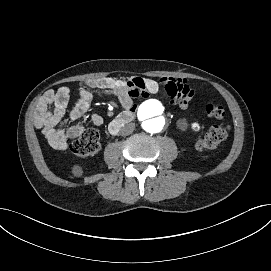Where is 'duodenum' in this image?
<instances>
[{
	"mask_svg": "<svg viewBox=\"0 0 271 271\" xmlns=\"http://www.w3.org/2000/svg\"><path fill=\"white\" fill-rule=\"evenodd\" d=\"M135 118V112L132 110H126L119 115H117L109 124V131L111 134L116 135L122 126L132 122Z\"/></svg>",
	"mask_w": 271,
	"mask_h": 271,
	"instance_id": "obj_1",
	"label": "duodenum"
}]
</instances>
